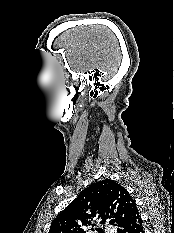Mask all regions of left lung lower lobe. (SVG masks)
I'll use <instances>...</instances> for the list:
<instances>
[{
    "label": "left lung lower lobe",
    "instance_id": "left-lung-lower-lobe-1",
    "mask_svg": "<svg viewBox=\"0 0 174 233\" xmlns=\"http://www.w3.org/2000/svg\"><path fill=\"white\" fill-rule=\"evenodd\" d=\"M118 233H144L142 220L137 211L130 219L118 227Z\"/></svg>",
    "mask_w": 174,
    "mask_h": 233
}]
</instances>
